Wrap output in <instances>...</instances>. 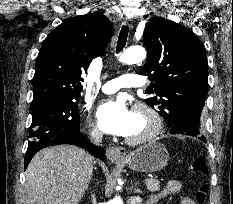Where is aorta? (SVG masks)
<instances>
[{
  "mask_svg": "<svg viewBox=\"0 0 233 204\" xmlns=\"http://www.w3.org/2000/svg\"><path fill=\"white\" fill-rule=\"evenodd\" d=\"M146 58V51L141 46H132L126 49L123 54H121L119 61L125 64H135L140 63ZM111 204H123L122 199L116 196Z\"/></svg>",
  "mask_w": 233,
  "mask_h": 204,
  "instance_id": "1",
  "label": "aorta"
}]
</instances>
